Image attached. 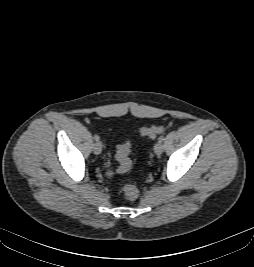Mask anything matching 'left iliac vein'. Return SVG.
Here are the masks:
<instances>
[{
	"mask_svg": "<svg viewBox=\"0 0 254 267\" xmlns=\"http://www.w3.org/2000/svg\"><path fill=\"white\" fill-rule=\"evenodd\" d=\"M163 144L162 142H157L155 145H154V151L157 155H160L162 152H163Z\"/></svg>",
	"mask_w": 254,
	"mask_h": 267,
	"instance_id": "1",
	"label": "left iliac vein"
}]
</instances>
